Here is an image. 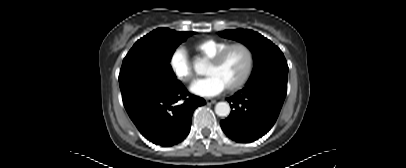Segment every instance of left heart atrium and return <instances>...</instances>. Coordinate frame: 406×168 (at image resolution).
I'll return each mask as SVG.
<instances>
[{"label": "left heart atrium", "instance_id": "39dd6f15", "mask_svg": "<svg viewBox=\"0 0 406 168\" xmlns=\"http://www.w3.org/2000/svg\"><path fill=\"white\" fill-rule=\"evenodd\" d=\"M190 90L195 95L201 97H213L222 93L225 90V86L214 75H208L204 78L195 80L191 84Z\"/></svg>", "mask_w": 406, "mask_h": 168}]
</instances>
